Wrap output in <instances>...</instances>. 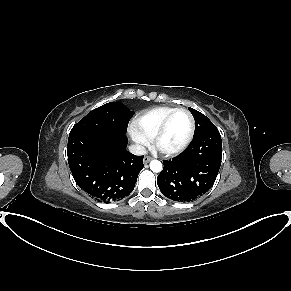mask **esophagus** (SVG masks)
<instances>
[{
	"label": "esophagus",
	"instance_id": "34e87169",
	"mask_svg": "<svg viewBox=\"0 0 291 291\" xmlns=\"http://www.w3.org/2000/svg\"><path fill=\"white\" fill-rule=\"evenodd\" d=\"M152 160V157H150V156H145L144 157V163H148V162H150Z\"/></svg>",
	"mask_w": 291,
	"mask_h": 291
}]
</instances>
